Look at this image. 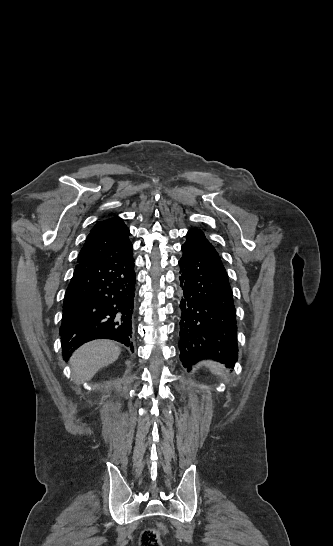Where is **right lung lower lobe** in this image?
<instances>
[{"mask_svg": "<svg viewBox=\"0 0 333 546\" xmlns=\"http://www.w3.org/2000/svg\"><path fill=\"white\" fill-rule=\"evenodd\" d=\"M132 250L130 244L104 260L76 265L60 326L64 359L82 344L99 338L118 341L133 351L136 274Z\"/></svg>", "mask_w": 333, "mask_h": 546, "instance_id": "obj_1", "label": "right lung lower lobe"}]
</instances>
